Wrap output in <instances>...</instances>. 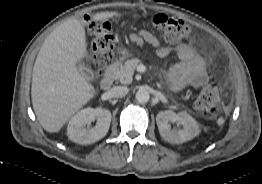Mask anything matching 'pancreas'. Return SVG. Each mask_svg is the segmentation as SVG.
Returning <instances> with one entry per match:
<instances>
[{
	"instance_id": "cf45deb5",
	"label": "pancreas",
	"mask_w": 262,
	"mask_h": 184,
	"mask_svg": "<svg viewBox=\"0 0 262 184\" xmlns=\"http://www.w3.org/2000/svg\"><path fill=\"white\" fill-rule=\"evenodd\" d=\"M141 63L138 58L127 60L123 65L115 66L112 68V77L114 80L121 84H130L132 82V76L134 70Z\"/></svg>"
}]
</instances>
